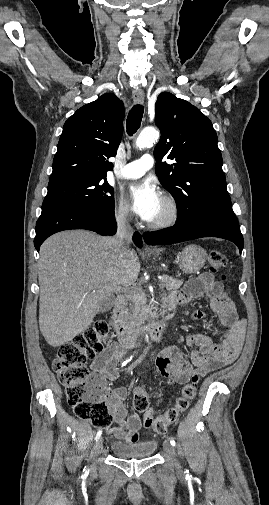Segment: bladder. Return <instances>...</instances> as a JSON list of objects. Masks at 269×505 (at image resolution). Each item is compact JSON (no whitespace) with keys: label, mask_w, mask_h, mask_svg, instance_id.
<instances>
[{"label":"bladder","mask_w":269,"mask_h":505,"mask_svg":"<svg viewBox=\"0 0 269 505\" xmlns=\"http://www.w3.org/2000/svg\"><path fill=\"white\" fill-rule=\"evenodd\" d=\"M111 451L120 458H147L152 456L157 449L155 440H145L139 442L112 441Z\"/></svg>","instance_id":"obj_1"}]
</instances>
